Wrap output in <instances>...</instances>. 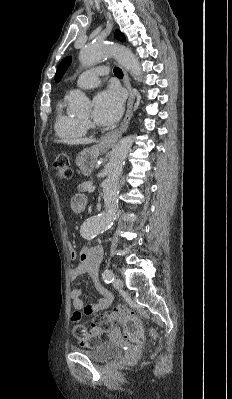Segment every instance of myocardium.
I'll return each instance as SVG.
<instances>
[{
	"instance_id": "obj_1",
	"label": "myocardium",
	"mask_w": 232,
	"mask_h": 399,
	"mask_svg": "<svg viewBox=\"0 0 232 399\" xmlns=\"http://www.w3.org/2000/svg\"><path fill=\"white\" fill-rule=\"evenodd\" d=\"M84 121L86 122V124H87V125H90V126H92V123L90 122V120H89V119H84Z\"/></svg>"
}]
</instances>
